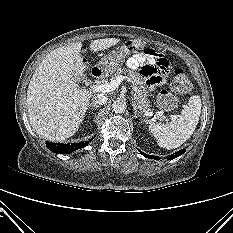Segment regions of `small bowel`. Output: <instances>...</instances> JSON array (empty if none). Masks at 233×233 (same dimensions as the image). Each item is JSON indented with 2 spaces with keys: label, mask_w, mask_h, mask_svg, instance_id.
<instances>
[{
  "label": "small bowel",
  "mask_w": 233,
  "mask_h": 233,
  "mask_svg": "<svg viewBox=\"0 0 233 233\" xmlns=\"http://www.w3.org/2000/svg\"><path fill=\"white\" fill-rule=\"evenodd\" d=\"M156 56L157 54L153 50L147 48L127 60V66L131 69H139L140 75L146 79L151 88L162 83V76L169 68L166 60L156 59Z\"/></svg>",
  "instance_id": "obj_1"
}]
</instances>
